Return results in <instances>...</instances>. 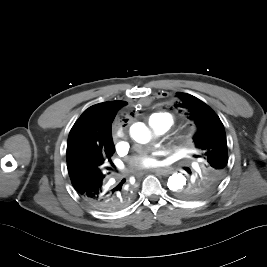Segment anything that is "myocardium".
I'll use <instances>...</instances> for the list:
<instances>
[{"mask_svg": "<svg viewBox=\"0 0 267 267\" xmlns=\"http://www.w3.org/2000/svg\"><path fill=\"white\" fill-rule=\"evenodd\" d=\"M184 146V141H178V142H175L173 145H172V149L173 150H177V149H179V148H181V147H183Z\"/></svg>", "mask_w": 267, "mask_h": 267, "instance_id": "obj_1", "label": "myocardium"}]
</instances>
